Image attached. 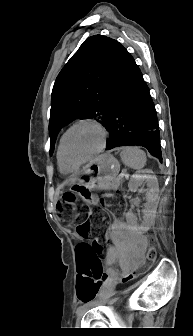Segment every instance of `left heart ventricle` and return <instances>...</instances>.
Segmentation results:
<instances>
[{"instance_id":"1","label":"left heart ventricle","mask_w":193,"mask_h":336,"mask_svg":"<svg viewBox=\"0 0 193 336\" xmlns=\"http://www.w3.org/2000/svg\"><path fill=\"white\" fill-rule=\"evenodd\" d=\"M102 135L91 125H80L66 139V152L74 160L83 159L94 153L101 145Z\"/></svg>"}]
</instances>
